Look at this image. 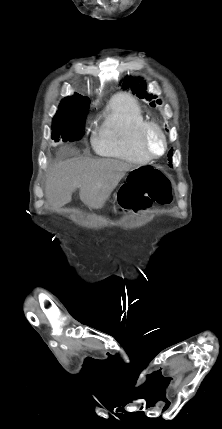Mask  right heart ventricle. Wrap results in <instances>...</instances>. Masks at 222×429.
<instances>
[{"mask_svg": "<svg viewBox=\"0 0 222 429\" xmlns=\"http://www.w3.org/2000/svg\"><path fill=\"white\" fill-rule=\"evenodd\" d=\"M146 122L139 103L133 97L116 95L109 103L102 129L93 136L96 151L131 163L150 162L140 146V133Z\"/></svg>", "mask_w": 222, "mask_h": 429, "instance_id": "1", "label": "right heart ventricle"}]
</instances>
